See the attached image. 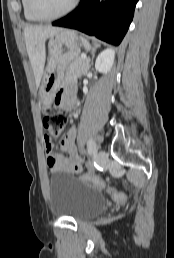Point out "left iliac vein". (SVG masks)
<instances>
[{
    "instance_id": "4c4485c4",
    "label": "left iliac vein",
    "mask_w": 174,
    "mask_h": 258,
    "mask_svg": "<svg viewBox=\"0 0 174 258\" xmlns=\"http://www.w3.org/2000/svg\"><path fill=\"white\" fill-rule=\"evenodd\" d=\"M97 162L100 164V165H103L106 163L107 159H108V155L105 151L101 150L97 153Z\"/></svg>"
}]
</instances>
